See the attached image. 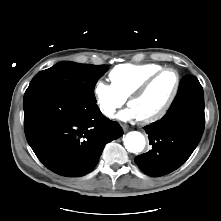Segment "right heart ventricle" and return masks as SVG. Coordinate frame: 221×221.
<instances>
[{"label":"right heart ventricle","mask_w":221,"mask_h":221,"mask_svg":"<svg viewBox=\"0 0 221 221\" xmlns=\"http://www.w3.org/2000/svg\"><path fill=\"white\" fill-rule=\"evenodd\" d=\"M162 68L159 64H121L110 71L109 78L116 91L126 99L151 74Z\"/></svg>","instance_id":"right-heart-ventricle-1"}]
</instances>
